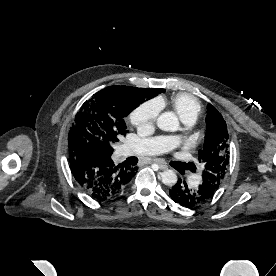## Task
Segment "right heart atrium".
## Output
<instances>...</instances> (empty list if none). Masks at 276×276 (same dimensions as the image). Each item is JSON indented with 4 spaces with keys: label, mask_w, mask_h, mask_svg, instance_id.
Instances as JSON below:
<instances>
[{
    "label": "right heart atrium",
    "mask_w": 276,
    "mask_h": 276,
    "mask_svg": "<svg viewBox=\"0 0 276 276\" xmlns=\"http://www.w3.org/2000/svg\"><path fill=\"white\" fill-rule=\"evenodd\" d=\"M159 111L160 107L157 102H145L131 112L130 121L138 130L150 131L154 127Z\"/></svg>",
    "instance_id": "right-heart-atrium-1"
}]
</instances>
